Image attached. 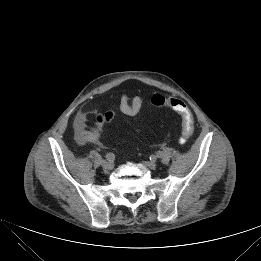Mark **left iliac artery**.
<instances>
[{
  "instance_id": "obj_1",
  "label": "left iliac artery",
  "mask_w": 261,
  "mask_h": 261,
  "mask_svg": "<svg viewBox=\"0 0 261 261\" xmlns=\"http://www.w3.org/2000/svg\"><path fill=\"white\" fill-rule=\"evenodd\" d=\"M163 156H164V154H163V152H162V151H158V152H156V155H155V157H157V158L161 159V158H163Z\"/></svg>"
}]
</instances>
